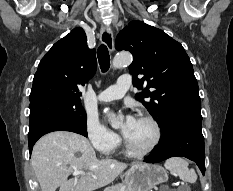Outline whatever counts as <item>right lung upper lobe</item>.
<instances>
[{
  "label": "right lung upper lobe",
  "mask_w": 233,
  "mask_h": 191,
  "mask_svg": "<svg viewBox=\"0 0 233 191\" xmlns=\"http://www.w3.org/2000/svg\"><path fill=\"white\" fill-rule=\"evenodd\" d=\"M96 65V51L88 48L84 30L73 29L40 61L30 99L53 94L81 101L78 86L84 85L94 75Z\"/></svg>",
  "instance_id": "right-lung-upper-lobe-1"
}]
</instances>
